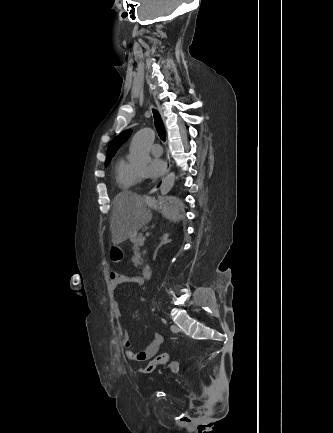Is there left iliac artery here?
<instances>
[{
  "instance_id": "44dca946",
  "label": "left iliac artery",
  "mask_w": 333,
  "mask_h": 433,
  "mask_svg": "<svg viewBox=\"0 0 333 433\" xmlns=\"http://www.w3.org/2000/svg\"><path fill=\"white\" fill-rule=\"evenodd\" d=\"M163 323H166V320L164 318H162Z\"/></svg>"
}]
</instances>
